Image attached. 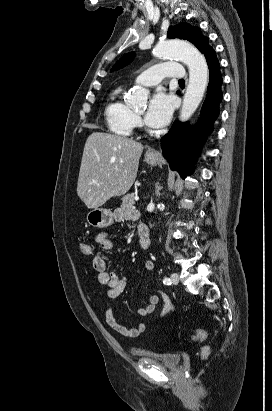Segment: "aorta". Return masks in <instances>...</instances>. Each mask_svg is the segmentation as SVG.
<instances>
[{
    "instance_id": "aorta-1",
    "label": "aorta",
    "mask_w": 272,
    "mask_h": 411,
    "mask_svg": "<svg viewBox=\"0 0 272 411\" xmlns=\"http://www.w3.org/2000/svg\"><path fill=\"white\" fill-rule=\"evenodd\" d=\"M153 54L160 59L178 58L188 66L189 83L180 111V120L187 121L202 101L208 84L209 70L204 56L191 44L179 40L160 41ZM147 96L145 89L134 87L130 90L128 99L134 106H144Z\"/></svg>"
}]
</instances>
